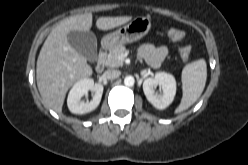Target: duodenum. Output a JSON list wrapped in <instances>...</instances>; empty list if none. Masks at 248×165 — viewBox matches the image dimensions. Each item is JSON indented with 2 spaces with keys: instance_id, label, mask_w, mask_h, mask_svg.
<instances>
[{
  "instance_id": "1",
  "label": "duodenum",
  "mask_w": 248,
  "mask_h": 165,
  "mask_svg": "<svg viewBox=\"0 0 248 165\" xmlns=\"http://www.w3.org/2000/svg\"><path fill=\"white\" fill-rule=\"evenodd\" d=\"M106 47H102L99 52L98 59L95 64V71L97 73H102L105 69V55H106Z\"/></svg>"
}]
</instances>
